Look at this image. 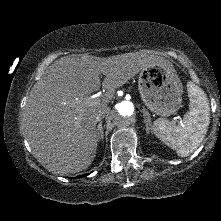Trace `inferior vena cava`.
<instances>
[{
  "instance_id": "obj_1",
  "label": "inferior vena cava",
  "mask_w": 221,
  "mask_h": 221,
  "mask_svg": "<svg viewBox=\"0 0 221 221\" xmlns=\"http://www.w3.org/2000/svg\"><path fill=\"white\" fill-rule=\"evenodd\" d=\"M108 112V108L105 107V108H102L101 110H99V112L97 113L96 117H95V120L96 122H99L102 120V118L105 117V115L107 114Z\"/></svg>"
}]
</instances>
